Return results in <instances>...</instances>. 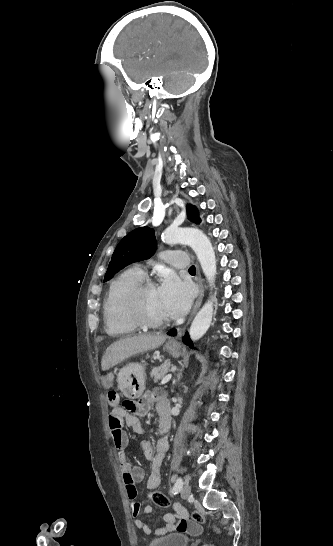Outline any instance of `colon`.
I'll return each instance as SVG.
<instances>
[{"label":"colon","mask_w":333,"mask_h":546,"mask_svg":"<svg viewBox=\"0 0 333 546\" xmlns=\"http://www.w3.org/2000/svg\"><path fill=\"white\" fill-rule=\"evenodd\" d=\"M108 398H109V402L112 404V405H115L116 403H118L119 401V396L116 392L112 391L109 393L108 395ZM126 406L129 407V408H132L133 407V403L132 402H127L126 403ZM150 498L152 500V502L157 506V507H160V508H168L170 506V499L168 498V496H166L164 493L162 492H159V491H156V492H153L150 494ZM192 521L194 523H203L205 522V517L204 515L199 512V511H194L193 512V515H192Z\"/></svg>","instance_id":"obj_1"}]
</instances>
